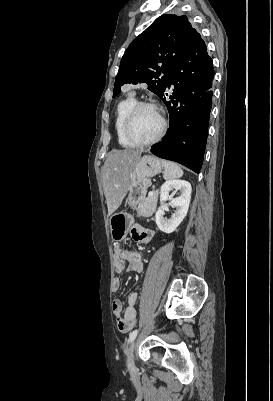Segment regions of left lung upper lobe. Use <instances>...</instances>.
<instances>
[{
	"instance_id": "1",
	"label": "left lung upper lobe",
	"mask_w": 273,
	"mask_h": 401,
	"mask_svg": "<svg viewBox=\"0 0 273 401\" xmlns=\"http://www.w3.org/2000/svg\"><path fill=\"white\" fill-rule=\"evenodd\" d=\"M199 39L200 34L187 16L166 14L158 17L125 51L115 77L113 97L121 92L122 85L141 82L147 83L148 89L161 97L176 62Z\"/></svg>"
}]
</instances>
